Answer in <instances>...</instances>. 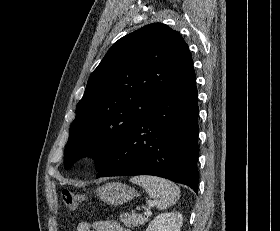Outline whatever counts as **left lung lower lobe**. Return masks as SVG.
<instances>
[{
  "label": "left lung lower lobe",
  "instance_id": "obj_1",
  "mask_svg": "<svg viewBox=\"0 0 280 231\" xmlns=\"http://www.w3.org/2000/svg\"><path fill=\"white\" fill-rule=\"evenodd\" d=\"M198 92L192 73L168 90L114 146L96 178L153 175L198 193Z\"/></svg>",
  "mask_w": 280,
  "mask_h": 231
}]
</instances>
